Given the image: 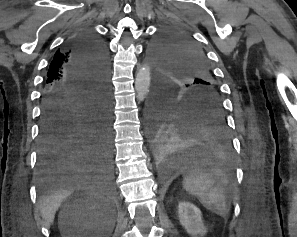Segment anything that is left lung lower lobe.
<instances>
[{
  "label": "left lung lower lobe",
  "instance_id": "left-lung-lower-lobe-1",
  "mask_svg": "<svg viewBox=\"0 0 297 237\" xmlns=\"http://www.w3.org/2000/svg\"><path fill=\"white\" fill-rule=\"evenodd\" d=\"M150 114L155 123L169 118L172 127L154 129L157 159L169 169L196 164L215 165L232 155V143L223 107L214 101L181 104L158 93Z\"/></svg>",
  "mask_w": 297,
  "mask_h": 237
}]
</instances>
